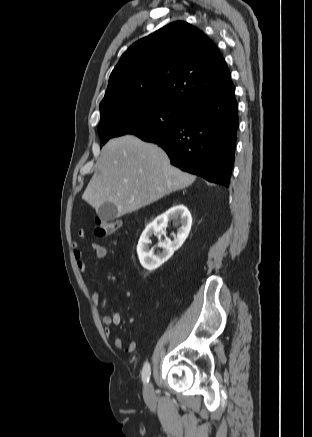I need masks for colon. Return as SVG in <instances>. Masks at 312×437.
<instances>
[{"label": "colon", "mask_w": 312, "mask_h": 437, "mask_svg": "<svg viewBox=\"0 0 312 437\" xmlns=\"http://www.w3.org/2000/svg\"><path fill=\"white\" fill-rule=\"evenodd\" d=\"M120 228V221L106 220L103 218L95 219V232L99 236H108L115 233Z\"/></svg>", "instance_id": "1"}]
</instances>
